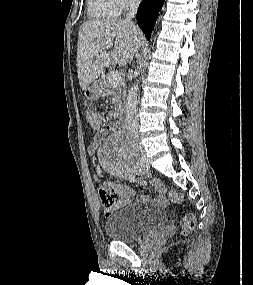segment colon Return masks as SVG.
I'll return each mask as SVG.
<instances>
[{"label":"colon","mask_w":253,"mask_h":285,"mask_svg":"<svg viewBox=\"0 0 253 285\" xmlns=\"http://www.w3.org/2000/svg\"><path fill=\"white\" fill-rule=\"evenodd\" d=\"M86 117L89 124L92 127H97L100 125L99 121L100 115L97 112L93 110H88L86 112ZM98 195L101 203L105 206L107 212L110 210L112 206L121 205L126 201V199L123 198L119 192H117L112 188L101 187L98 191ZM168 195L169 199L172 202H181L183 200L182 195L175 190H171ZM195 226H196L195 216L190 213L186 214L182 220V231L184 233H189L195 228Z\"/></svg>","instance_id":"5ec220e1"}]
</instances>
